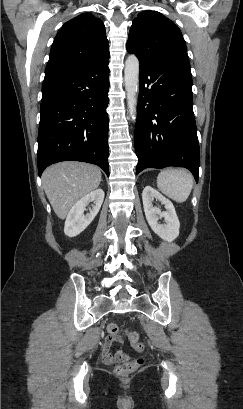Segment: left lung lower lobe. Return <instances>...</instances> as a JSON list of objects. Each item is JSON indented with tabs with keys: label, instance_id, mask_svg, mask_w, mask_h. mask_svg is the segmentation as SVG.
I'll list each match as a JSON object with an SVG mask.
<instances>
[{
	"label": "left lung lower lobe",
	"instance_id": "left-lung-lower-lobe-1",
	"mask_svg": "<svg viewBox=\"0 0 243 409\" xmlns=\"http://www.w3.org/2000/svg\"><path fill=\"white\" fill-rule=\"evenodd\" d=\"M139 86L136 174L145 168L185 167L198 182L200 151L189 61L140 66Z\"/></svg>",
	"mask_w": 243,
	"mask_h": 409
}]
</instances>
